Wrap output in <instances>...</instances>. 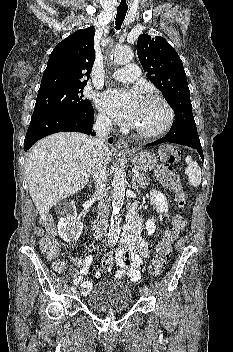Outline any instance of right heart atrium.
<instances>
[{
	"label": "right heart atrium",
	"instance_id": "1",
	"mask_svg": "<svg viewBox=\"0 0 233 352\" xmlns=\"http://www.w3.org/2000/svg\"><path fill=\"white\" fill-rule=\"evenodd\" d=\"M98 121L102 125H109L111 123L110 119L102 113L98 115Z\"/></svg>",
	"mask_w": 233,
	"mask_h": 352
}]
</instances>
